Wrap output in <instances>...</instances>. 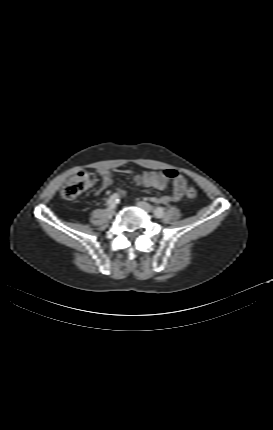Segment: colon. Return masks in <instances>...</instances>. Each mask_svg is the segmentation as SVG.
I'll return each instance as SVG.
<instances>
[{"mask_svg":"<svg viewBox=\"0 0 273 430\" xmlns=\"http://www.w3.org/2000/svg\"><path fill=\"white\" fill-rule=\"evenodd\" d=\"M96 180V175L91 171H81L76 173L63 187L61 191L62 198L65 200L75 199L77 196L93 186ZM186 195L189 199H193L197 196V191L195 188L190 187L187 190Z\"/></svg>","mask_w":273,"mask_h":430,"instance_id":"colon-1","label":"colon"}]
</instances>
